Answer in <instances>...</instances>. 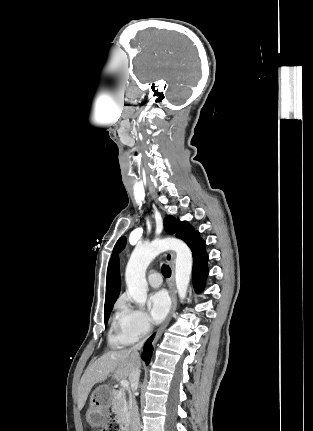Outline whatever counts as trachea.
Masks as SVG:
<instances>
[{
    "mask_svg": "<svg viewBox=\"0 0 313 431\" xmlns=\"http://www.w3.org/2000/svg\"><path fill=\"white\" fill-rule=\"evenodd\" d=\"M162 274L165 277H170V275H171V269H170V267L168 265H165V264L162 265Z\"/></svg>",
    "mask_w": 313,
    "mask_h": 431,
    "instance_id": "obj_1",
    "label": "trachea"
}]
</instances>
